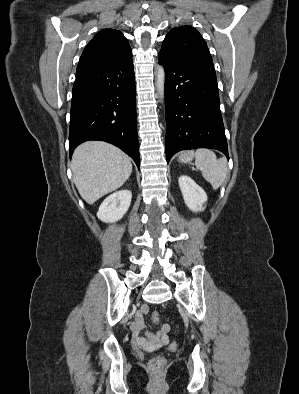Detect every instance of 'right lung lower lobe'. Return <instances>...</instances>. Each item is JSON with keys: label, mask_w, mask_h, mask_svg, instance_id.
<instances>
[{"label": "right lung lower lobe", "mask_w": 299, "mask_h": 394, "mask_svg": "<svg viewBox=\"0 0 299 394\" xmlns=\"http://www.w3.org/2000/svg\"><path fill=\"white\" fill-rule=\"evenodd\" d=\"M88 140L106 141L140 168L132 59L76 72L69 133L70 156Z\"/></svg>", "instance_id": "right-lung-lower-lobe-1"}]
</instances>
